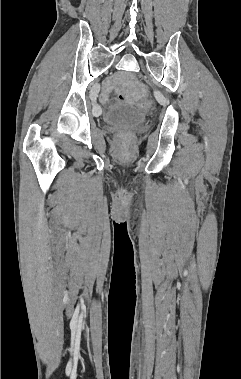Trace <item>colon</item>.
Returning <instances> with one entry per match:
<instances>
[{
	"label": "colon",
	"mask_w": 241,
	"mask_h": 379,
	"mask_svg": "<svg viewBox=\"0 0 241 379\" xmlns=\"http://www.w3.org/2000/svg\"><path fill=\"white\" fill-rule=\"evenodd\" d=\"M120 98H121V100H123L124 102H127V101H128V99H127L126 96L121 95ZM141 101H142V102L139 104L140 107H142V108H144V109H147V108L150 107V102H151V100H150V98L148 97V95H146V94L143 95ZM137 107H138V106H137ZM126 137H127V135L124 134V135L121 136V139H126Z\"/></svg>",
	"instance_id": "colon-1"
}]
</instances>
